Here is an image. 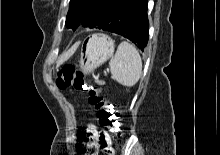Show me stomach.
<instances>
[{
    "label": "stomach",
    "instance_id": "obj_1",
    "mask_svg": "<svg viewBox=\"0 0 220 155\" xmlns=\"http://www.w3.org/2000/svg\"><path fill=\"white\" fill-rule=\"evenodd\" d=\"M113 52L114 41L108 35L99 33L87 38L82 44L79 61L84 74H90L109 59Z\"/></svg>",
    "mask_w": 220,
    "mask_h": 155
}]
</instances>
